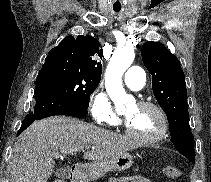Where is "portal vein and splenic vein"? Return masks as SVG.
<instances>
[{
    "instance_id": "18ae733b",
    "label": "portal vein and splenic vein",
    "mask_w": 211,
    "mask_h": 182,
    "mask_svg": "<svg viewBox=\"0 0 211 182\" xmlns=\"http://www.w3.org/2000/svg\"><path fill=\"white\" fill-rule=\"evenodd\" d=\"M93 148V147H92ZM86 149H90V147H86Z\"/></svg>"
}]
</instances>
